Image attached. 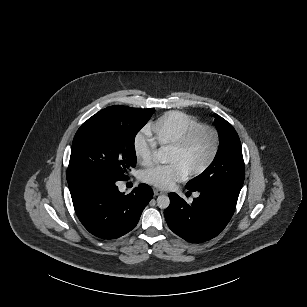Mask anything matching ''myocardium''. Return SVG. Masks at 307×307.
I'll return each instance as SVG.
<instances>
[{"instance_id": "1", "label": "myocardium", "mask_w": 307, "mask_h": 307, "mask_svg": "<svg viewBox=\"0 0 307 307\" xmlns=\"http://www.w3.org/2000/svg\"><path fill=\"white\" fill-rule=\"evenodd\" d=\"M206 132H209L213 135V137H214V147H213V150L210 153L209 157L200 166H198L194 170L187 172V174L191 177H195V176H198V175L204 173L213 164V162L216 160V158H217V156L220 152L221 146H222V136H221L220 131L218 129H216L214 127H210V126L202 127V128L196 129L195 131L189 133L188 135H186L182 139L178 140L177 142L172 143V144L167 146L168 149L176 151V152L184 151L200 135H202L203 133H206Z\"/></svg>"}]
</instances>
